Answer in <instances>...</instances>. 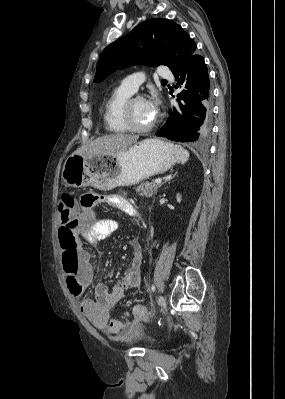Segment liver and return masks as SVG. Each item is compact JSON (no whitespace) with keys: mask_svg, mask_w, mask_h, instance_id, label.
<instances>
[{"mask_svg":"<svg viewBox=\"0 0 285 399\" xmlns=\"http://www.w3.org/2000/svg\"><path fill=\"white\" fill-rule=\"evenodd\" d=\"M138 140L137 135L109 134L96 138L81 146L75 154L94 156L98 154L116 155L129 149Z\"/></svg>","mask_w":285,"mask_h":399,"instance_id":"liver-1","label":"liver"}]
</instances>
